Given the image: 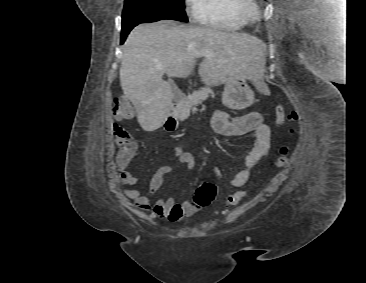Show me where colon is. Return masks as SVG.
Masks as SVG:
<instances>
[{
	"label": "colon",
	"mask_w": 366,
	"mask_h": 283,
	"mask_svg": "<svg viewBox=\"0 0 366 283\" xmlns=\"http://www.w3.org/2000/svg\"><path fill=\"white\" fill-rule=\"evenodd\" d=\"M132 114V108L124 97H119L113 108V115L117 120L128 119ZM295 122L297 120V113L294 111L287 112L282 105L276 107V123L278 125L284 124L285 121ZM113 135L120 150L117 155V161L120 165H127L137 154L138 148L132 140L128 132L116 125L113 130ZM289 149L287 146H282L279 150V157L276 160L277 167H283L288 161ZM216 194V186L211 182H202L194 195V202L192 205L196 209L203 208L211 203ZM246 196L245 191H237L230 195L227 203L231 206L237 205Z\"/></svg>",
	"instance_id": "5ec220e1"
}]
</instances>
